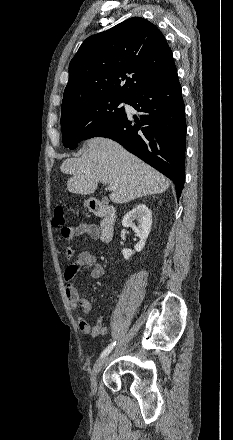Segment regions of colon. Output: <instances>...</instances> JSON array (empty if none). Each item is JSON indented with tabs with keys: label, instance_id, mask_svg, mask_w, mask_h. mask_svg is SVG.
<instances>
[{
	"label": "colon",
	"instance_id": "1",
	"mask_svg": "<svg viewBox=\"0 0 233 440\" xmlns=\"http://www.w3.org/2000/svg\"><path fill=\"white\" fill-rule=\"evenodd\" d=\"M52 225L54 227H64L65 226L64 209L61 206H55L53 208Z\"/></svg>",
	"mask_w": 233,
	"mask_h": 440
}]
</instances>
